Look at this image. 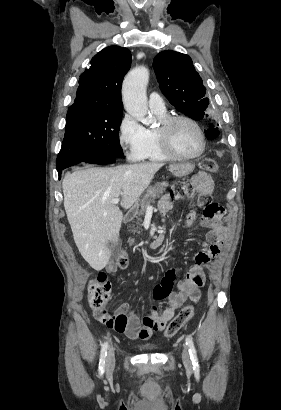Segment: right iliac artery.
Segmentation results:
<instances>
[{"label": "right iliac artery", "instance_id": "1", "mask_svg": "<svg viewBox=\"0 0 281 410\" xmlns=\"http://www.w3.org/2000/svg\"><path fill=\"white\" fill-rule=\"evenodd\" d=\"M107 349H108V343L105 342L102 346L101 353H100V361H99V373L100 374H103L105 370Z\"/></svg>", "mask_w": 281, "mask_h": 410}]
</instances>
